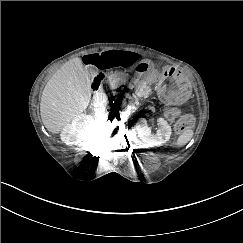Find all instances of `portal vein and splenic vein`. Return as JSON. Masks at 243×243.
<instances>
[{
	"label": "portal vein and splenic vein",
	"instance_id": "18ae733b",
	"mask_svg": "<svg viewBox=\"0 0 243 243\" xmlns=\"http://www.w3.org/2000/svg\"><path fill=\"white\" fill-rule=\"evenodd\" d=\"M129 89H133L134 86L130 84V82L126 81L125 77H122V79H117L115 82L110 83L111 89H116L119 85H126Z\"/></svg>",
	"mask_w": 243,
	"mask_h": 243
}]
</instances>
